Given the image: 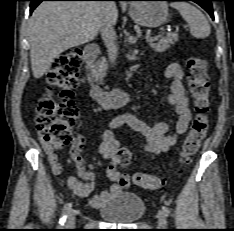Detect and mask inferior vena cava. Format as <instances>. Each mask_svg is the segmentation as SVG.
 I'll return each mask as SVG.
<instances>
[{"label":"inferior vena cava","mask_w":234,"mask_h":231,"mask_svg":"<svg viewBox=\"0 0 234 231\" xmlns=\"http://www.w3.org/2000/svg\"><path fill=\"white\" fill-rule=\"evenodd\" d=\"M105 4L109 5L110 2H105ZM98 29L106 44L109 60L112 64H115L118 55L116 32L106 15L101 16L98 20Z\"/></svg>","instance_id":"1"}]
</instances>
